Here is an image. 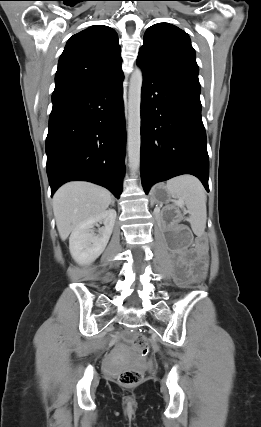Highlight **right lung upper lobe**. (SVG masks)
<instances>
[{
	"instance_id": "obj_1",
	"label": "right lung upper lobe",
	"mask_w": 261,
	"mask_h": 427,
	"mask_svg": "<svg viewBox=\"0 0 261 427\" xmlns=\"http://www.w3.org/2000/svg\"><path fill=\"white\" fill-rule=\"evenodd\" d=\"M121 61L114 29L95 25L73 35L59 59L52 102L122 75Z\"/></svg>"
}]
</instances>
